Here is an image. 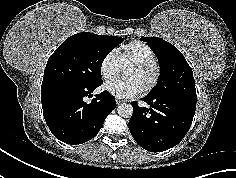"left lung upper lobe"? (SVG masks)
<instances>
[{
    "label": "left lung upper lobe",
    "mask_w": 236,
    "mask_h": 178,
    "mask_svg": "<svg viewBox=\"0 0 236 178\" xmlns=\"http://www.w3.org/2000/svg\"><path fill=\"white\" fill-rule=\"evenodd\" d=\"M142 41L156 54L161 76L150 96L197 98L193 72L181 52L169 42L157 37H144Z\"/></svg>",
    "instance_id": "5c2ea615"
}]
</instances>
